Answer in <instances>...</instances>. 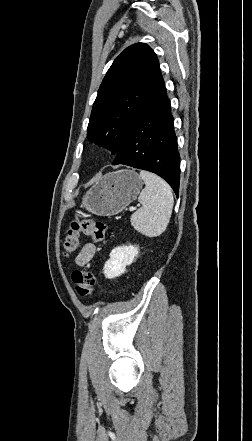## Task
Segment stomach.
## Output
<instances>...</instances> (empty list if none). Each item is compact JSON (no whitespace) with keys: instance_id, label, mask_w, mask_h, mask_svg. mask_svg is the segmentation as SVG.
<instances>
[{"instance_id":"obj_1","label":"stomach","mask_w":252,"mask_h":441,"mask_svg":"<svg viewBox=\"0 0 252 441\" xmlns=\"http://www.w3.org/2000/svg\"><path fill=\"white\" fill-rule=\"evenodd\" d=\"M142 185L133 170L107 173L86 193L82 206L99 216L116 215L137 198Z\"/></svg>"}]
</instances>
